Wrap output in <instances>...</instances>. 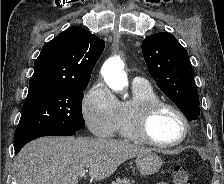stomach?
Masks as SVG:
<instances>
[{
  "instance_id": "obj_1",
  "label": "stomach",
  "mask_w": 224,
  "mask_h": 184,
  "mask_svg": "<svg viewBox=\"0 0 224 184\" xmlns=\"http://www.w3.org/2000/svg\"><path fill=\"white\" fill-rule=\"evenodd\" d=\"M161 158L152 152L140 155L136 159L137 169L142 175L157 173L162 166Z\"/></svg>"
}]
</instances>
